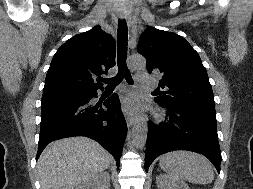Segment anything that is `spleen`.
Instances as JSON below:
<instances>
[{
	"instance_id": "1",
	"label": "spleen",
	"mask_w": 253,
	"mask_h": 189,
	"mask_svg": "<svg viewBox=\"0 0 253 189\" xmlns=\"http://www.w3.org/2000/svg\"><path fill=\"white\" fill-rule=\"evenodd\" d=\"M159 165L174 180L206 184L214 179L211 162L194 152L181 150L167 153L160 157Z\"/></svg>"
}]
</instances>
